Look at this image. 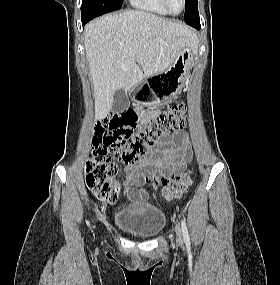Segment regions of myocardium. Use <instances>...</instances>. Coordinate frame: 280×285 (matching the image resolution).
Listing matches in <instances>:
<instances>
[{"mask_svg":"<svg viewBox=\"0 0 280 285\" xmlns=\"http://www.w3.org/2000/svg\"><path fill=\"white\" fill-rule=\"evenodd\" d=\"M163 5L165 6V8L167 9V11L172 14V15H179L180 13H182L185 8H186V5H187V1L186 0H182V9L179 11V12H173L171 9H170V6H169V1L168 0H161Z\"/></svg>","mask_w":280,"mask_h":285,"instance_id":"f54148a6","label":"myocardium"}]
</instances>
